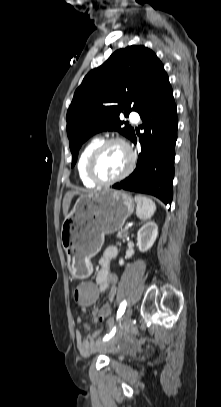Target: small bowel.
<instances>
[{
    "label": "small bowel",
    "mask_w": 221,
    "mask_h": 407,
    "mask_svg": "<svg viewBox=\"0 0 221 407\" xmlns=\"http://www.w3.org/2000/svg\"><path fill=\"white\" fill-rule=\"evenodd\" d=\"M118 254L117 248L115 246L107 247L98 261V268L95 275V282L98 285L99 294L109 293V300L112 301L116 294V284L118 278L115 274L111 273L110 265L111 262L116 259ZM84 283V282H82ZM104 305H110L106 303ZM102 308V307H101ZM99 305H92L90 311L92 314H99L101 311ZM95 320V319H94ZM77 323H82L81 318L76 319ZM111 324V322H108ZM86 328V326H84ZM100 331H95L87 336L83 337L80 331L76 332V342L79 352L82 355H89L98 349V337Z\"/></svg>",
    "instance_id": "1"
}]
</instances>
